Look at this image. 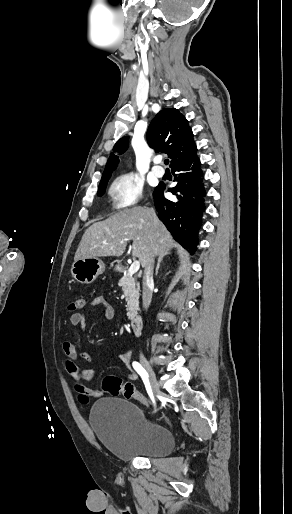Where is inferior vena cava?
Segmentation results:
<instances>
[{"mask_svg":"<svg viewBox=\"0 0 292 514\" xmlns=\"http://www.w3.org/2000/svg\"><path fill=\"white\" fill-rule=\"evenodd\" d=\"M155 216V212L153 214ZM153 264L154 258H150L143 276V304L144 308H149L152 300L151 284H153Z\"/></svg>","mask_w":292,"mask_h":514,"instance_id":"1","label":"inferior vena cava"}]
</instances>
